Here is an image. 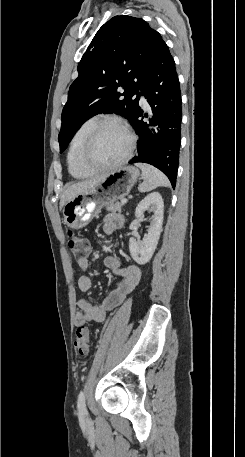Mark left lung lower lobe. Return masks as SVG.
Listing matches in <instances>:
<instances>
[{
	"label": "left lung lower lobe",
	"mask_w": 245,
	"mask_h": 457,
	"mask_svg": "<svg viewBox=\"0 0 245 457\" xmlns=\"http://www.w3.org/2000/svg\"><path fill=\"white\" fill-rule=\"evenodd\" d=\"M152 113L149 123L143 122L139 106L131 120L139 136L137 156L129 163L151 164L169 178L173 188L176 184L181 145L182 104L175 62L162 38L158 41L144 78L139 88Z\"/></svg>",
	"instance_id": "0a47b994"
}]
</instances>
